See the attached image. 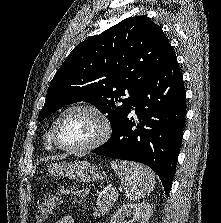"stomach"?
<instances>
[{
	"instance_id": "1",
	"label": "stomach",
	"mask_w": 221,
	"mask_h": 223,
	"mask_svg": "<svg viewBox=\"0 0 221 223\" xmlns=\"http://www.w3.org/2000/svg\"><path fill=\"white\" fill-rule=\"evenodd\" d=\"M48 172L54 176L68 177L80 182L103 180L106 176L91 163L80 160L52 164L49 166Z\"/></svg>"
}]
</instances>
